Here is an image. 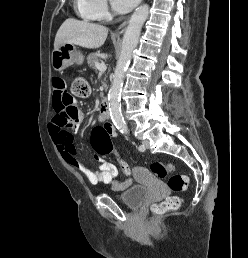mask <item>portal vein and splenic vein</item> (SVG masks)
Listing matches in <instances>:
<instances>
[{"label": "portal vein and splenic vein", "mask_w": 248, "mask_h": 258, "mask_svg": "<svg viewBox=\"0 0 248 258\" xmlns=\"http://www.w3.org/2000/svg\"><path fill=\"white\" fill-rule=\"evenodd\" d=\"M96 68L102 73L106 70V65L105 63H99V62H96Z\"/></svg>", "instance_id": "1"}]
</instances>
